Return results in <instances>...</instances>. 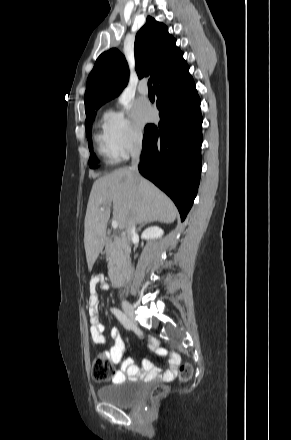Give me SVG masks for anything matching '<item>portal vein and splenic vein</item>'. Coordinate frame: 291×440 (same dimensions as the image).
<instances>
[{
  "instance_id": "portal-vein-and-splenic-vein-1",
  "label": "portal vein and splenic vein",
  "mask_w": 291,
  "mask_h": 440,
  "mask_svg": "<svg viewBox=\"0 0 291 440\" xmlns=\"http://www.w3.org/2000/svg\"><path fill=\"white\" fill-rule=\"evenodd\" d=\"M104 207H101V211H104ZM112 227L113 229H117L118 228V222L117 221H112Z\"/></svg>"
}]
</instances>
